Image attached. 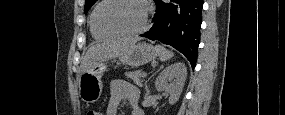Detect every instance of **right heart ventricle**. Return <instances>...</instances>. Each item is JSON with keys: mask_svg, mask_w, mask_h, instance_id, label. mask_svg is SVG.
Segmentation results:
<instances>
[{"mask_svg": "<svg viewBox=\"0 0 285 115\" xmlns=\"http://www.w3.org/2000/svg\"><path fill=\"white\" fill-rule=\"evenodd\" d=\"M89 26H90L91 35L94 39L105 40V39H111L114 37L113 35L106 34V33L99 31L95 27V25L93 24V21H92V14L90 15V19H89Z\"/></svg>", "mask_w": 285, "mask_h": 115, "instance_id": "obj_1", "label": "right heart ventricle"}]
</instances>
